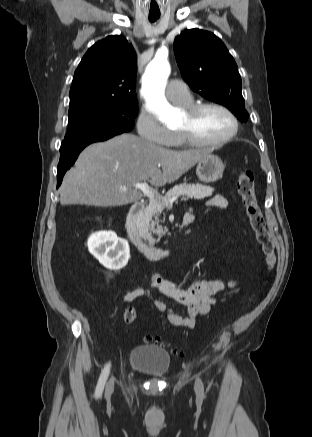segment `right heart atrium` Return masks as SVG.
Segmentation results:
<instances>
[{"label": "right heart atrium", "mask_w": 312, "mask_h": 437, "mask_svg": "<svg viewBox=\"0 0 312 437\" xmlns=\"http://www.w3.org/2000/svg\"><path fill=\"white\" fill-rule=\"evenodd\" d=\"M138 134L150 143L167 146L170 145L174 133L162 125L159 119L151 112L143 109L136 122Z\"/></svg>", "instance_id": "right-heart-atrium-1"}]
</instances>
